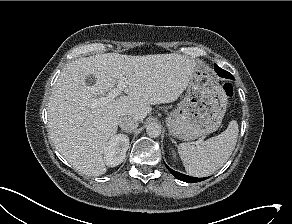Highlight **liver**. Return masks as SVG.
Here are the masks:
<instances>
[{"label":"liver","instance_id":"liver-1","mask_svg":"<svg viewBox=\"0 0 292 224\" xmlns=\"http://www.w3.org/2000/svg\"><path fill=\"white\" fill-rule=\"evenodd\" d=\"M196 64L177 53H106L72 61L61 71L48 102V126L56 149L81 173L105 174L103 154L117 133L118 119L132 116L143 121L151 105L175 101ZM121 78L127 82L122 89L127 96L93 106V97L118 87Z\"/></svg>","mask_w":292,"mask_h":224}]
</instances>
